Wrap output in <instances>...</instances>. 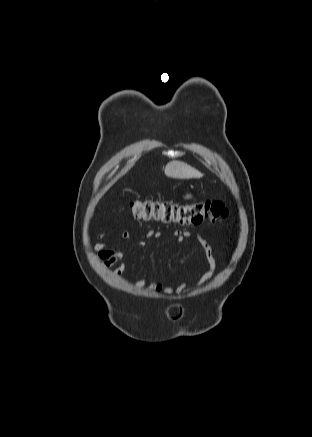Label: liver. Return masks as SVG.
I'll return each instance as SVG.
<instances>
[{"instance_id":"1","label":"liver","mask_w":312,"mask_h":437,"mask_svg":"<svg viewBox=\"0 0 312 437\" xmlns=\"http://www.w3.org/2000/svg\"><path fill=\"white\" fill-rule=\"evenodd\" d=\"M165 175L172 178H200L201 172L181 161H171L165 167Z\"/></svg>"}]
</instances>
